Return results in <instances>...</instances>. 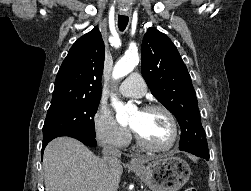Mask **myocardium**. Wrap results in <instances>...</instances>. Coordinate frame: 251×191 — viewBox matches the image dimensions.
<instances>
[{
	"label": "myocardium",
	"mask_w": 251,
	"mask_h": 191,
	"mask_svg": "<svg viewBox=\"0 0 251 191\" xmlns=\"http://www.w3.org/2000/svg\"><path fill=\"white\" fill-rule=\"evenodd\" d=\"M155 110H159L164 112L167 117L169 118L171 124H172V128H173V140L172 142L166 146V147H155L152 146L151 144H149L144 137L135 129L133 128V132L135 134V139L137 141V144L150 152H156V153H165V152H170L172 150H174L178 144H179V140H180V129H179V124L178 121L175 117V115L173 114V112L168 109L167 107L160 105V104H149L147 106H145L143 108V111H155Z\"/></svg>",
	"instance_id": "f54148a6"
}]
</instances>
